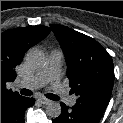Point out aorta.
<instances>
[{
	"mask_svg": "<svg viewBox=\"0 0 123 123\" xmlns=\"http://www.w3.org/2000/svg\"><path fill=\"white\" fill-rule=\"evenodd\" d=\"M25 61L33 69L42 68L46 63V56L39 49H31L27 52ZM46 113L52 118H57L61 114V106L58 102H50L46 107Z\"/></svg>",
	"mask_w": 123,
	"mask_h": 123,
	"instance_id": "1",
	"label": "aorta"
}]
</instances>
